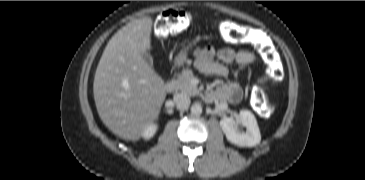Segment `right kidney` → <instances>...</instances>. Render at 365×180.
I'll list each match as a JSON object with an SVG mask.
<instances>
[{"label":"right kidney","instance_id":"right-kidney-1","mask_svg":"<svg viewBox=\"0 0 365 180\" xmlns=\"http://www.w3.org/2000/svg\"><path fill=\"white\" fill-rule=\"evenodd\" d=\"M156 131H157V125L156 124H150L143 131V137L145 139H150L151 137H153V135L156 133Z\"/></svg>","mask_w":365,"mask_h":180}]
</instances>
